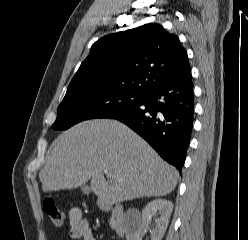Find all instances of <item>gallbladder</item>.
<instances>
[{
	"label": "gallbladder",
	"mask_w": 248,
	"mask_h": 240,
	"mask_svg": "<svg viewBox=\"0 0 248 240\" xmlns=\"http://www.w3.org/2000/svg\"><path fill=\"white\" fill-rule=\"evenodd\" d=\"M81 190L84 192V193H90L91 192V188L84 185L81 187Z\"/></svg>",
	"instance_id": "bac80fb5"
}]
</instances>
